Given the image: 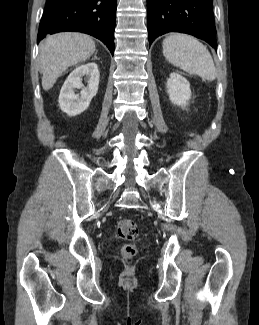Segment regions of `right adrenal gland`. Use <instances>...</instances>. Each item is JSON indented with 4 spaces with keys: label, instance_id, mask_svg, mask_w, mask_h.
<instances>
[{
    "label": "right adrenal gland",
    "instance_id": "2a0ac1e0",
    "mask_svg": "<svg viewBox=\"0 0 259 325\" xmlns=\"http://www.w3.org/2000/svg\"><path fill=\"white\" fill-rule=\"evenodd\" d=\"M94 59H97L96 55H95Z\"/></svg>",
    "mask_w": 259,
    "mask_h": 325
}]
</instances>
